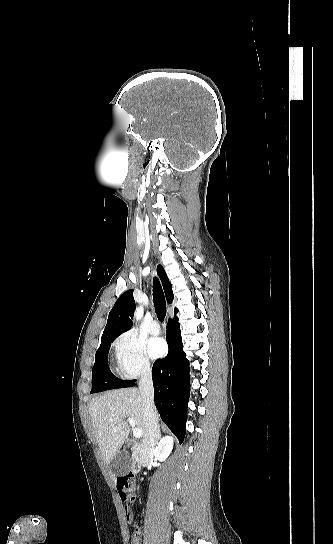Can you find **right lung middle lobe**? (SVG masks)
<instances>
[{
	"label": "right lung middle lobe",
	"mask_w": 333,
	"mask_h": 544,
	"mask_svg": "<svg viewBox=\"0 0 333 544\" xmlns=\"http://www.w3.org/2000/svg\"><path fill=\"white\" fill-rule=\"evenodd\" d=\"M116 337L106 338L101 340L100 347L95 355V363L93 366L91 393L101 392L110 389L125 388L134 381H125L115 377L108 366V352L111 343Z\"/></svg>",
	"instance_id": "1"
}]
</instances>
